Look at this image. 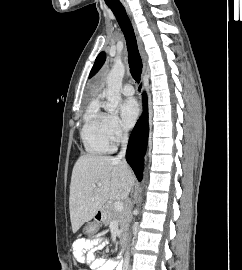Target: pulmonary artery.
<instances>
[{
    "label": "pulmonary artery",
    "instance_id": "pulmonary-artery-1",
    "mask_svg": "<svg viewBox=\"0 0 242 270\" xmlns=\"http://www.w3.org/2000/svg\"><path fill=\"white\" fill-rule=\"evenodd\" d=\"M134 92H135L134 87L130 84H126L121 89V93L125 96H132Z\"/></svg>",
    "mask_w": 242,
    "mask_h": 270
}]
</instances>
